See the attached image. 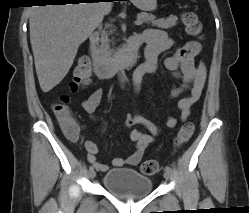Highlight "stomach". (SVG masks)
I'll list each match as a JSON object with an SVG mask.
<instances>
[{"label": "stomach", "mask_w": 249, "mask_h": 213, "mask_svg": "<svg viewBox=\"0 0 249 213\" xmlns=\"http://www.w3.org/2000/svg\"><path fill=\"white\" fill-rule=\"evenodd\" d=\"M142 11H153L157 7V0H131Z\"/></svg>", "instance_id": "obj_1"}]
</instances>
